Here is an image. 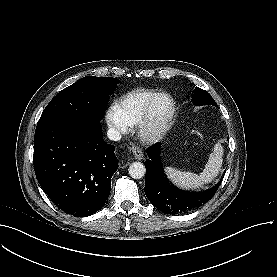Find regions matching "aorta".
I'll return each mask as SVG.
<instances>
[{"mask_svg":"<svg viewBox=\"0 0 277 277\" xmlns=\"http://www.w3.org/2000/svg\"><path fill=\"white\" fill-rule=\"evenodd\" d=\"M129 175L134 179H141L145 176L146 169L141 162H133L128 169Z\"/></svg>","mask_w":277,"mask_h":277,"instance_id":"1","label":"aorta"}]
</instances>
